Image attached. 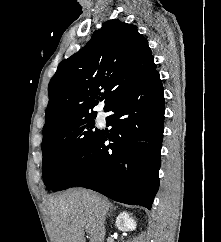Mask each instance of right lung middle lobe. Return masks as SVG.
<instances>
[{"instance_id":"dd1d6c3e","label":"right lung middle lobe","mask_w":221,"mask_h":242,"mask_svg":"<svg viewBox=\"0 0 221 242\" xmlns=\"http://www.w3.org/2000/svg\"><path fill=\"white\" fill-rule=\"evenodd\" d=\"M95 117L96 114L80 117L43 136L42 174L48 190L59 183L100 132L95 126Z\"/></svg>"}]
</instances>
